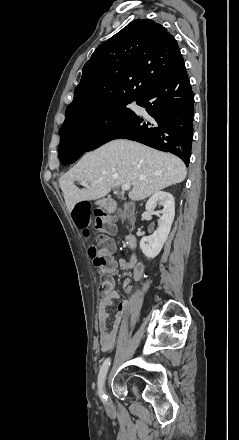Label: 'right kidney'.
I'll return each mask as SVG.
<instances>
[{"instance_id":"ca27d5eb","label":"right kidney","mask_w":239,"mask_h":440,"mask_svg":"<svg viewBox=\"0 0 239 440\" xmlns=\"http://www.w3.org/2000/svg\"><path fill=\"white\" fill-rule=\"evenodd\" d=\"M163 206L160 210L159 228L155 230L152 236H143L140 240V248L146 258H156L160 254L163 244H165L175 216V202L172 194L169 192H156L148 202H146L145 210L152 212L155 206Z\"/></svg>"}]
</instances>
